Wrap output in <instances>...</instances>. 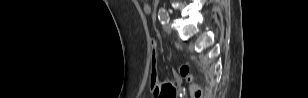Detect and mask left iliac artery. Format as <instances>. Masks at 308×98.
Listing matches in <instances>:
<instances>
[{
  "mask_svg": "<svg viewBox=\"0 0 308 98\" xmlns=\"http://www.w3.org/2000/svg\"><path fill=\"white\" fill-rule=\"evenodd\" d=\"M158 18L162 24L169 22V14L164 8H160L158 11Z\"/></svg>",
  "mask_w": 308,
  "mask_h": 98,
  "instance_id": "obj_1",
  "label": "left iliac artery"
}]
</instances>
